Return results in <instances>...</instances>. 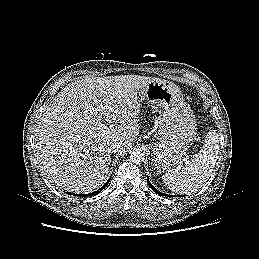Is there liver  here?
I'll return each instance as SVG.
<instances>
[{"mask_svg":"<svg viewBox=\"0 0 259 259\" xmlns=\"http://www.w3.org/2000/svg\"><path fill=\"white\" fill-rule=\"evenodd\" d=\"M155 78L122 75L80 79L66 85L35 129L44 176L67 191L90 193L106 180L110 145L128 149L139 134L140 91ZM116 126H107L103 122Z\"/></svg>","mask_w":259,"mask_h":259,"instance_id":"1","label":"liver"}]
</instances>
